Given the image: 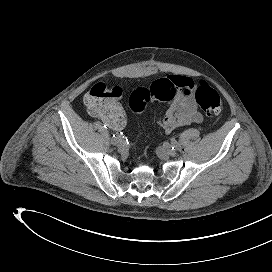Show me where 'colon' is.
<instances>
[{
	"label": "colon",
	"instance_id": "5ec220e1",
	"mask_svg": "<svg viewBox=\"0 0 272 272\" xmlns=\"http://www.w3.org/2000/svg\"><path fill=\"white\" fill-rule=\"evenodd\" d=\"M177 84L171 78H162L144 88H137L129 98L133 112L141 113L152 100L170 101L176 93ZM195 100L209 117H218L223 112V102L218 92L206 82H200L194 89ZM119 87L108 88L102 83L95 84L85 96L89 111L99 117H107L117 109V100L121 97Z\"/></svg>",
	"mask_w": 272,
	"mask_h": 272
}]
</instances>
